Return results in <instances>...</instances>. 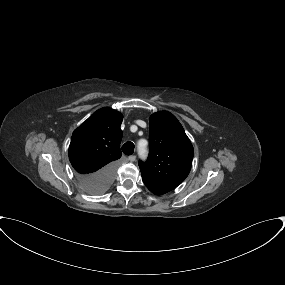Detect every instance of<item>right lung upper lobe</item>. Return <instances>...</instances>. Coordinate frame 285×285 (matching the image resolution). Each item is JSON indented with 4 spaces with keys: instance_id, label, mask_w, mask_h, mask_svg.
<instances>
[{
    "instance_id": "right-lung-upper-lobe-1",
    "label": "right lung upper lobe",
    "mask_w": 285,
    "mask_h": 285,
    "mask_svg": "<svg viewBox=\"0 0 285 285\" xmlns=\"http://www.w3.org/2000/svg\"><path fill=\"white\" fill-rule=\"evenodd\" d=\"M122 120L120 112L105 107L94 112L74 130L69 159L79 174L95 173L122 156Z\"/></svg>"
}]
</instances>
